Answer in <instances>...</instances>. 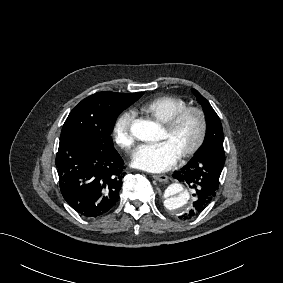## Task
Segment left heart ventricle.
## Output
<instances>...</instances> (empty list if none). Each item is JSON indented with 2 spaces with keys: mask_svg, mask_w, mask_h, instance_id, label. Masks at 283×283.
<instances>
[{
  "mask_svg": "<svg viewBox=\"0 0 283 283\" xmlns=\"http://www.w3.org/2000/svg\"><path fill=\"white\" fill-rule=\"evenodd\" d=\"M199 119L191 113L186 115L178 124L176 129L168 132L165 128L157 141H167L173 149L181 156L196 141L199 134Z\"/></svg>",
  "mask_w": 283,
  "mask_h": 283,
  "instance_id": "left-heart-ventricle-1",
  "label": "left heart ventricle"
}]
</instances>
